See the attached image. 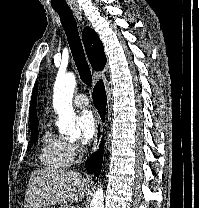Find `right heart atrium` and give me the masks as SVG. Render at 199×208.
Listing matches in <instances>:
<instances>
[{"instance_id": "obj_1", "label": "right heart atrium", "mask_w": 199, "mask_h": 208, "mask_svg": "<svg viewBox=\"0 0 199 208\" xmlns=\"http://www.w3.org/2000/svg\"><path fill=\"white\" fill-rule=\"evenodd\" d=\"M65 153L67 155L68 164H73L81 154V147L75 142H65Z\"/></svg>"}]
</instances>
